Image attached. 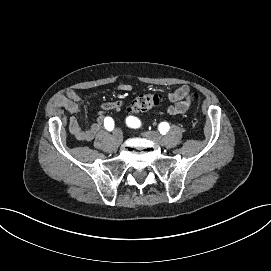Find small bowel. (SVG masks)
<instances>
[{
    "instance_id": "small-bowel-1",
    "label": "small bowel",
    "mask_w": 271,
    "mask_h": 271,
    "mask_svg": "<svg viewBox=\"0 0 271 271\" xmlns=\"http://www.w3.org/2000/svg\"><path fill=\"white\" fill-rule=\"evenodd\" d=\"M118 90L121 92H130L132 86L122 83L118 86ZM190 96V88L185 85L169 93L168 99L171 105L166 108V113L168 115L184 114L190 107ZM55 104L70 114L69 128L73 135L78 140L90 141L99 132L102 124H104V119L106 118L105 112L120 109L124 102L122 100H115L102 103L101 109L103 113L99 115L97 120L88 129H83L75 117V115L80 112L82 106V99L75 91L70 90L67 94L58 97Z\"/></svg>"
}]
</instances>
